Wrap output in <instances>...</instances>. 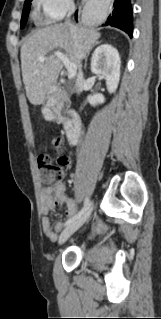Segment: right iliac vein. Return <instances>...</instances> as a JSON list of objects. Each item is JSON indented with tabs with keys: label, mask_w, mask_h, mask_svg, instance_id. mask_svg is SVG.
I'll return each instance as SVG.
<instances>
[{
	"label": "right iliac vein",
	"mask_w": 161,
	"mask_h": 319,
	"mask_svg": "<svg viewBox=\"0 0 161 319\" xmlns=\"http://www.w3.org/2000/svg\"><path fill=\"white\" fill-rule=\"evenodd\" d=\"M91 214V207L78 219L70 223L60 234L58 243L63 244L75 231H77Z\"/></svg>",
	"instance_id": "1"
}]
</instances>
